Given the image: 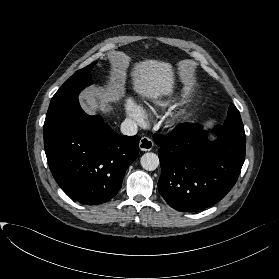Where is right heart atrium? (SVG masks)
<instances>
[{
    "mask_svg": "<svg viewBox=\"0 0 279 279\" xmlns=\"http://www.w3.org/2000/svg\"><path fill=\"white\" fill-rule=\"evenodd\" d=\"M126 115L136 125H143L146 121L145 109L135 102L133 99H129L126 102Z\"/></svg>",
    "mask_w": 279,
    "mask_h": 279,
    "instance_id": "right-heart-atrium-1",
    "label": "right heart atrium"
}]
</instances>
